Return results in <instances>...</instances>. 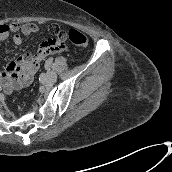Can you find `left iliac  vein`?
<instances>
[{"label":"left iliac vein","instance_id":"obj_1","mask_svg":"<svg viewBox=\"0 0 172 172\" xmlns=\"http://www.w3.org/2000/svg\"><path fill=\"white\" fill-rule=\"evenodd\" d=\"M56 79H57V74L52 70H48L47 71V81L50 83H53L56 81Z\"/></svg>","mask_w":172,"mask_h":172}]
</instances>
